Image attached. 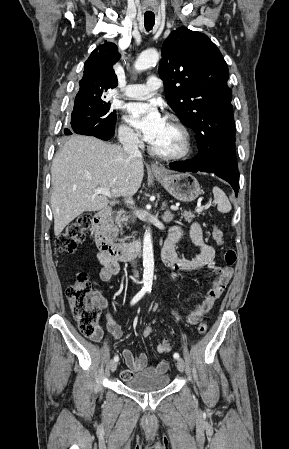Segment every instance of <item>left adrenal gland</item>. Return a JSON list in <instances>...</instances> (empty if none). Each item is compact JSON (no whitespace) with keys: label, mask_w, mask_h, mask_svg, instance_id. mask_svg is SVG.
<instances>
[{"label":"left adrenal gland","mask_w":289,"mask_h":449,"mask_svg":"<svg viewBox=\"0 0 289 449\" xmlns=\"http://www.w3.org/2000/svg\"><path fill=\"white\" fill-rule=\"evenodd\" d=\"M166 202H164L161 206V211H163L166 208ZM174 217V214H172L169 210H166L163 215L162 218L165 222H170L172 220V218Z\"/></svg>","instance_id":"obj_1"}]
</instances>
